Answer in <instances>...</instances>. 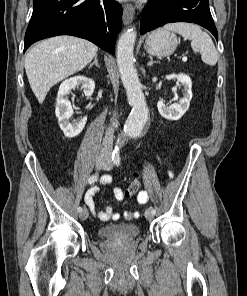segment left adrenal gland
<instances>
[{
  "instance_id": "a2214340",
  "label": "left adrenal gland",
  "mask_w": 247,
  "mask_h": 296,
  "mask_svg": "<svg viewBox=\"0 0 247 296\" xmlns=\"http://www.w3.org/2000/svg\"><path fill=\"white\" fill-rule=\"evenodd\" d=\"M150 61L147 63V66H152L154 63H158L157 61H153V58L151 56H149Z\"/></svg>"
}]
</instances>
